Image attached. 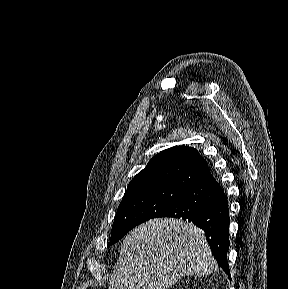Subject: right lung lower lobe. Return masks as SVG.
Returning a JSON list of instances; mask_svg holds the SVG:
<instances>
[{
	"mask_svg": "<svg viewBox=\"0 0 288 289\" xmlns=\"http://www.w3.org/2000/svg\"><path fill=\"white\" fill-rule=\"evenodd\" d=\"M158 217L182 218L204 230L215 259L230 276L227 262L230 245L228 201L210 172L187 189L181 200Z\"/></svg>",
	"mask_w": 288,
	"mask_h": 289,
	"instance_id": "1",
	"label": "right lung lower lobe"
}]
</instances>
